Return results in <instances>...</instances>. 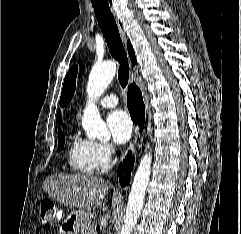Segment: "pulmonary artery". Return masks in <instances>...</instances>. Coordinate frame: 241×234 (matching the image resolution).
<instances>
[{
    "label": "pulmonary artery",
    "instance_id": "e3ab8cb5",
    "mask_svg": "<svg viewBox=\"0 0 241 234\" xmlns=\"http://www.w3.org/2000/svg\"><path fill=\"white\" fill-rule=\"evenodd\" d=\"M118 104V97L115 94L105 95L99 101V105L104 108H113Z\"/></svg>",
    "mask_w": 241,
    "mask_h": 234
}]
</instances>
